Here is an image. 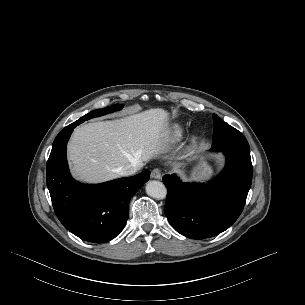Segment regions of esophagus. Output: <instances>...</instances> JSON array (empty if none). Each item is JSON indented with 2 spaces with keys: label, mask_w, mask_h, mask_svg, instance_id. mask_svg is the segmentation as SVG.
Masks as SVG:
<instances>
[{
  "label": "esophagus",
  "mask_w": 305,
  "mask_h": 305,
  "mask_svg": "<svg viewBox=\"0 0 305 305\" xmlns=\"http://www.w3.org/2000/svg\"><path fill=\"white\" fill-rule=\"evenodd\" d=\"M161 177H162V175H161V172L159 169H153L151 171V178L159 180V179H161Z\"/></svg>",
  "instance_id": "obj_1"
}]
</instances>
